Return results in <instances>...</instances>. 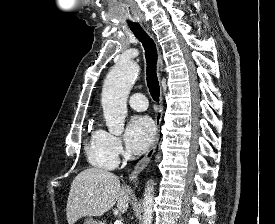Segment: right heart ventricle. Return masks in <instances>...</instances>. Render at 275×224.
Masks as SVG:
<instances>
[{
    "label": "right heart ventricle",
    "instance_id": "1",
    "mask_svg": "<svg viewBox=\"0 0 275 224\" xmlns=\"http://www.w3.org/2000/svg\"><path fill=\"white\" fill-rule=\"evenodd\" d=\"M85 152L88 162L96 168L111 170L117 165V157L108 146L106 132L98 127L88 132Z\"/></svg>",
    "mask_w": 275,
    "mask_h": 224
}]
</instances>
